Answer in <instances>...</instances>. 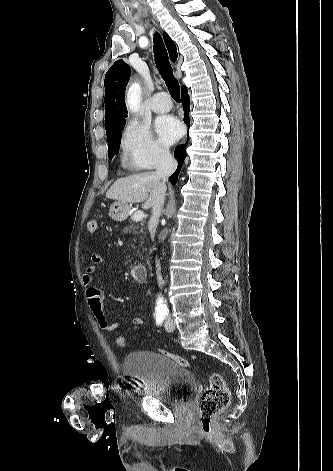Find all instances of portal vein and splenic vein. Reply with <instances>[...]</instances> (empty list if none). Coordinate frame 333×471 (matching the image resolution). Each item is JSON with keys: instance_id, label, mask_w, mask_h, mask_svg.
I'll use <instances>...</instances> for the list:
<instances>
[{"instance_id": "obj_1", "label": "portal vein and splenic vein", "mask_w": 333, "mask_h": 471, "mask_svg": "<svg viewBox=\"0 0 333 471\" xmlns=\"http://www.w3.org/2000/svg\"><path fill=\"white\" fill-rule=\"evenodd\" d=\"M145 217L143 211H136L133 214V220L135 221H141Z\"/></svg>"}]
</instances>
